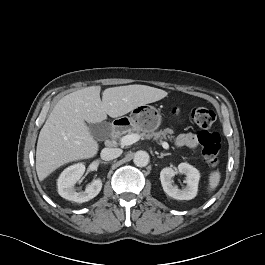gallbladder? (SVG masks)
<instances>
[{"mask_svg": "<svg viewBox=\"0 0 265 265\" xmlns=\"http://www.w3.org/2000/svg\"><path fill=\"white\" fill-rule=\"evenodd\" d=\"M88 127L92 136L97 140H104L105 138L108 137L111 131L110 123L105 121L96 124L90 123Z\"/></svg>", "mask_w": 265, "mask_h": 265, "instance_id": "1", "label": "gallbladder"}]
</instances>
